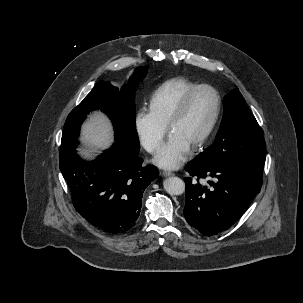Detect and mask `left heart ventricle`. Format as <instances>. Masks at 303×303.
Returning a JSON list of instances; mask_svg holds the SVG:
<instances>
[{
  "label": "left heart ventricle",
  "mask_w": 303,
  "mask_h": 303,
  "mask_svg": "<svg viewBox=\"0 0 303 303\" xmlns=\"http://www.w3.org/2000/svg\"><path fill=\"white\" fill-rule=\"evenodd\" d=\"M216 98L207 89L200 90L192 98L184 116L172 127L171 132L180 135L191 146L207 129L215 111Z\"/></svg>",
  "instance_id": "left-heart-ventricle-1"
}]
</instances>
